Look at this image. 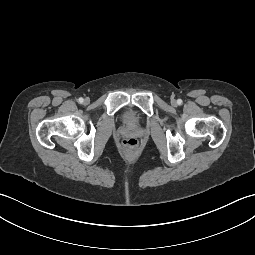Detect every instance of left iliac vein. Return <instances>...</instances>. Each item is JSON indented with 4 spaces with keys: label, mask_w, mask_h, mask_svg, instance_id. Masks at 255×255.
Listing matches in <instances>:
<instances>
[{
    "label": "left iliac vein",
    "mask_w": 255,
    "mask_h": 255,
    "mask_svg": "<svg viewBox=\"0 0 255 255\" xmlns=\"http://www.w3.org/2000/svg\"><path fill=\"white\" fill-rule=\"evenodd\" d=\"M171 103H172V105H176L177 104L176 100H174V99L171 100Z\"/></svg>",
    "instance_id": "obj_1"
}]
</instances>
